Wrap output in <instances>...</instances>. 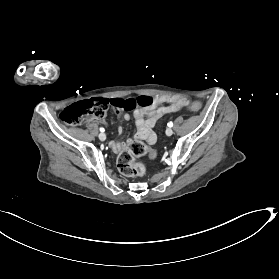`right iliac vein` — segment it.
I'll return each instance as SVG.
<instances>
[{
  "instance_id": "63e3f726",
  "label": "right iliac vein",
  "mask_w": 279,
  "mask_h": 279,
  "mask_svg": "<svg viewBox=\"0 0 279 279\" xmlns=\"http://www.w3.org/2000/svg\"><path fill=\"white\" fill-rule=\"evenodd\" d=\"M99 139H100L101 141H105V140H106V135H105L104 133H100V134H99Z\"/></svg>"
}]
</instances>
